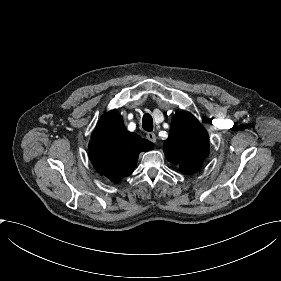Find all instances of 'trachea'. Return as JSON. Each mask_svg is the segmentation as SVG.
I'll return each mask as SVG.
<instances>
[{"label": "trachea", "instance_id": "obj_1", "mask_svg": "<svg viewBox=\"0 0 281 281\" xmlns=\"http://www.w3.org/2000/svg\"><path fill=\"white\" fill-rule=\"evenodd\" d=\"M143 129L147 132L153 131V119L149 114L143 116Z\"/></svg>", "mask_w": 281, "mask_h": 281}]
</instances>
